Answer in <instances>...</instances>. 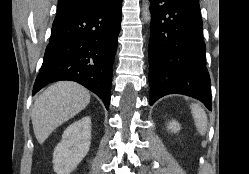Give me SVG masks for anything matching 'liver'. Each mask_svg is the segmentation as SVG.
Instances as JSON below:
<instances>
[{"instance_id":"6515ba94","label":"liver","mask_w":249,"mask_h":174,"mask_svg":"<svg viewBox=\"0 0 249 174\" xmlns=\"http://www.w3.org/2000/svg\"><path fill=\"white\" fill-rule=\"evenodd\" d=\"M90 102L86 88L71 81L50 85L36 99L31 120L37 141L42 144L64 122L81 112Z\"/></svg>"}]
</instances>
